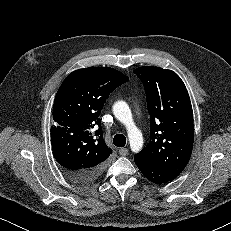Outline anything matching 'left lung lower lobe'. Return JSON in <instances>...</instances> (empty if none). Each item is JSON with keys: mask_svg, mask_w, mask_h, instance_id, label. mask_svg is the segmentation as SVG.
<instances>
[{"mask_svg": "<svg viewBox=\"0 0 231 231\" xmlns=\"http://www.w3.org/2000/svg\"><path fill=\"white\" fill-rule=\"evenodd\" d=\"M134 161L142 174L155 184L169 182L180 174V172H172L160 169L145 159L141 158L137 154L134 156Z\"/></svg>", "mask_w": 231, "mask_h": 231, "instance_id": "left-lung-lower-lobe-1", "label": "left lung lower lobe"}]
</instances>
